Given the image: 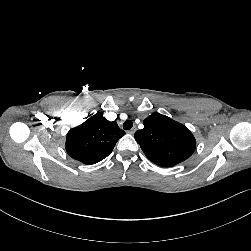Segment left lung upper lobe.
<instances>
[{
  "label": "left lung upper lobe",
  "mask_w": 251,
  "mask_h": 251,
  "mask_svg": "<svg viewBox=\"0 0 251 251\" xmlns=\"http://www.w3.org/2000/svg\"><path fill=\"white\" fill-rule=\"evenodd\" d=\"M143 124L144 128L136 131L135 140L153 163L171 167L193 154L196 140L183 124L159 113L148 116Z\"/></svg>",
  "instance_id": "5c2ea615"
}]
</instances>
